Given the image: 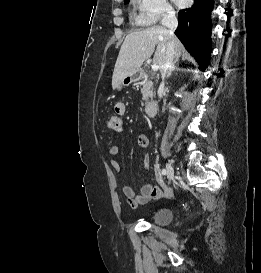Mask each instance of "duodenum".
Masks as SVG:
<instances>
[{"label": "duodenum", "mask_w": 261, "mask_h": 273, "mask_svg": "<svg viewBox=\"0 0 261 273\" xmlns=\"http://www.w3.org/2000/svg\"><path fill=\"white\" fill-rule=\"evenodd\" d=\"M157 110V103L155 101H150L145 105V113L147 116L152 117L155 115Z\"/></svg>", "instance_id": "410a0bca"}]
</instances>
